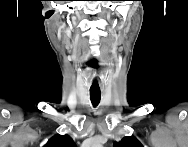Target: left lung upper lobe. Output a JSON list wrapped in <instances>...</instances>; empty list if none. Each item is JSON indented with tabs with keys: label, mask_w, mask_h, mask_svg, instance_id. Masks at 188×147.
Segmentation results:
<instances>
[{
	"label": "left lung upper lobe",
	"mask_w": 188,
	"mask_h": 147,
	"mask_svg": "<svg viewBox=\"0 0 188 147\" xmlns=\"http://www.w3.org/2000/svg\"><path fill=\"white\" fill-rule=\"evenodd\" d=\"M114 147H142L135 137H124L120 142H115Z\"/></svg>",
	"instance_id": "5c2ea615"
}]
</instances>
